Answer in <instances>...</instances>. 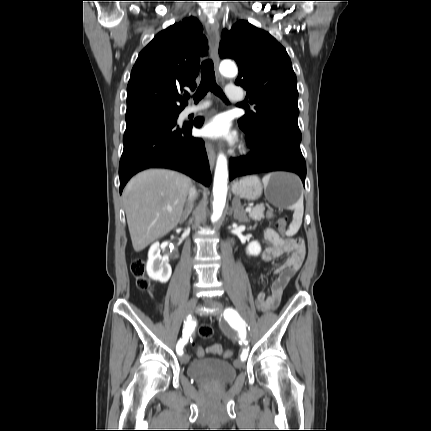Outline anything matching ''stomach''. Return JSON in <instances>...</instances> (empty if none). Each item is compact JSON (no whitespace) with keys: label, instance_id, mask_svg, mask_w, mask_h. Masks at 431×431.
I'll list each match as a JSON object with an SVG mask.
<instances>
[{"label":"stomach","instance_id":"stomach-1","mask_svg":"<svg viewBox=\"0 0 431 431\" xmlns=\"http://www.w3.org/2000/svg\"><path fill=\"white\" fill-rule=\"evenodd\" d=\"M266 199L279 208H292L302 196V186L299 178L286 172L272 173L268 183L262 185L257 176H246L232 185L236 197L247 200H257L263 192Z\"/></svg>","mask_w":431,"mask_h":431}]
</instances>
